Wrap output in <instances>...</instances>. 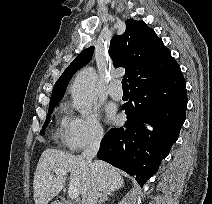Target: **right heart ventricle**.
Returning <instances> with one entry per match:
<instances>
[{
  "label": "right heart ventricle",
  "mask_w": 212,
  "mask_h": 204,
  "mask_svg": "<svg viewBox=\"0 0 212 204\" xmlns=\"http://www.w3.org/2000/svg\"><path fill=\"white\" fill-rule=\"evenodd\" d=\"M66 119H67V117L65 115V111H64V109H61V111H60V124H61V128L62 127L64 128Z\"/></svg>",
  "instance_id": "e07e8e85"
}]
</instances>
